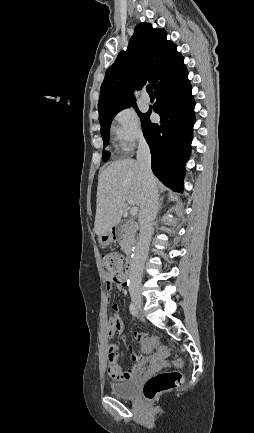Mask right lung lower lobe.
I'll return each mask as SVG.
<instances>
[{"label":"right lung lower lobe","mask_w":254,"mask_h":433,"mask_svg":"<svg viewBox=\"0 0 254 433\" xmlns=\"http://www.w3.org/2000/svg\"><path fill=\"white\" fill-rule=\"evenodd\" d=\"M153 110L160 123L149 120L150 109L141 117L144 137L151 151L154 175L174 191L182 192L185 163L191 152L195 102L184 58L154 89Z\"/></svg>","instance_id":"1"}]
</instances>
